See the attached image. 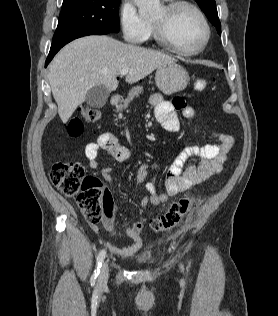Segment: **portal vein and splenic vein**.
Masks as SVG:
<instances>
[{"instance_id":"obj_1","label":"portal vein and splenic vein","mask_w":278,"mask_h":316,"mask_svg":"<svg viewBox=\"0 0 278 316\" xmlns=\"http://www.w3.org/2000/svg\"><path fill=\"white\" fill-rule=\"evenodd\" d=\"M127 73H128V70H126V69H122L119 71V74L122 76L126 75Z\"/></svg>"}]
</instances>
